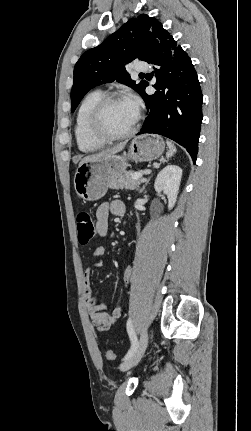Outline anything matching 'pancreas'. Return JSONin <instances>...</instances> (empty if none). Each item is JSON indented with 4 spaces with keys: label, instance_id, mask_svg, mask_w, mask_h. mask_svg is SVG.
<instances>
[{
    "label": "pancreas",
    "instance_id": "obj_1",
    "mask_svg": "<svg viewBox=\"0 0 251 431\" xmlns=\"http://www.w3.org/2000/svg\"><path fill=\"white\" fill-rule=\"evenodd\" d=\"M134 173L135 172L133 171H128L117 178L111 179L109 182V187L116 190L123 188L130 190L138 189L141 184V179H132V175Z\"/></svg>",
    "mask_w": 251,
    "mask_h": 431
}]
</instances>
